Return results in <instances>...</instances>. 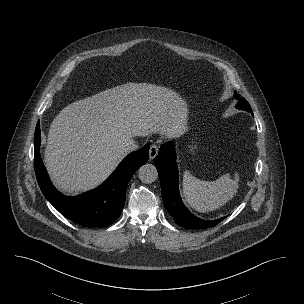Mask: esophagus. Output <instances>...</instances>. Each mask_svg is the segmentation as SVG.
Instances as JSON below:
<instances>
[{
	"label": "esophagus",
	"mask_w": 304,
	"mask_h": 304,
	"mask_svg": "<svg viewBox=\"0 0 304 304\" xmlns=\"http://www.w3.org/2000/svg\"><path fill=\"white\" fill-rule=\"evenodd\" d=\"M158 154V146L156 144H152L149 150V159L153 160Z\"/></svg>",
	"instance_id": "1"
}]
</instances>
